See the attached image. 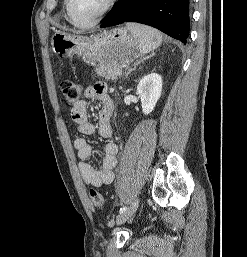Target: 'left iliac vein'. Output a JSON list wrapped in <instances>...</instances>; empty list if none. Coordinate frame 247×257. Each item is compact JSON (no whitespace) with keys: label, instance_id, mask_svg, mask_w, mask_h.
Wrapping results in <instances>:
<instances>
[{"label":"left iliac vein","instance_id":"obj_1","mask_svg":"<svg viewBox=\"0 0 247 257\" xmlns=\"http://www.w3.org/2000/svg\"><path fill=\"white\" fill-rule=\"evenodd\" d=\"M138 205H139V199L137 198L132 202V204L129 206V208H127L126 211H124L123 213H120V215L117 216L116 224L121 225L125 223L129 218H131L136 212Z\"/></svg>","mask_w":247,"mask_h":257}]
</instances>
